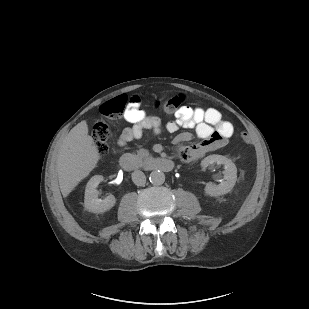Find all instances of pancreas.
Segmentation results:
<instances>
[{
	"label": "pancreas",
	"mask_w": 309,
	"mask_h": 309,
	"mask_svg": "<svg viewBox=\"0 0 309 309\" xmlns=\"http://www.w3.org/2000/svg\"><path fill=\"white\" fill-rule=\"evenodd\" d=\"M132 158L138 163L142 164L144 161L148 160L151 158V155L147 149H139L135 154L131 155Z\"/></svg>",
	"instance_id": "pancreas-1"
}]
</instances>
